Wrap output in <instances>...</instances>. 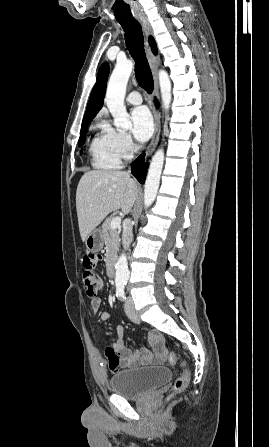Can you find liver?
<instances>
[{
    "label": "liver",
    "instance_id": "liver-1",
    "mask_svg": "<svg viewBox=\"0 0 269 447\" xmlns=\"http://www.w3.org/2000/svg\"><path fill=\"white\" fill-rule=\"evenodd\" d=\"M138 186L127 172L91 170L82 176L76 192V210L82 241L104 218L122 210L131 212L137 198Z\"/></svg>",
    "mask_w": 269,
    "mask_h": 447
}]
</instances>
